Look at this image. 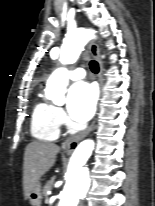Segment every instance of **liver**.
I'll return each mask as SVG.
<instances>
[{
	"label": "liver",
	"instance_id": "obj_1",
	"mask_svg": "<svg viewBox=\"0 0 155 206\" xmlns=\"http://www.w3.org/2000/svg\"><path fill=\"white\" fill-rule=\"evenodd\" d=\"M60 147L54 143L33 141L27 145L24 154L23 188L24 197L28 196L38 182L55 163Z\"/></svg>",
	"mask_w": 155,
	"mask_h": 206
}]
</instances>
